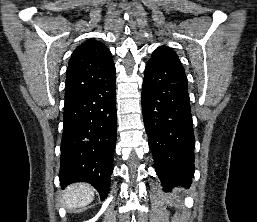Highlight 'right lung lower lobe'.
<instances>
[{
  "label": "right lung lower lobe",
  "instance_id": "1",
  "mask_svg": "<svg viewBox=\"0 0 257 222\" xmlns=\"http://www.w3.org/2000/svg\"><path fill=\"white\" fill-rule=\"evenodd\" d=\"M115 71L95 87L65 100L59 179L92 184L105 199L117 136Z\"/></svg>",
  "mask_w": 257,
  "mask_h": 222
}]
</instances>
